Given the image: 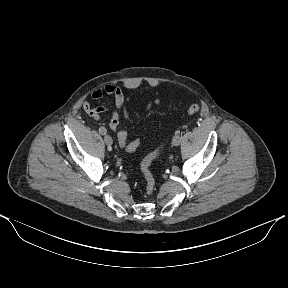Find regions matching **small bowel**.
I'll return each instance as SVG.
<instances>
[{
	"label": "small bowel",
	"mask_w": 288,
	"mask_h": 288,
	"mask_svg": "<svg viewBox=\"0 0 288 288\" xmlns=\"http://www.w3.org/2000/svg\"><path fill=\"white\" fill-rule=\"evenodd\" d=\"M104 95L111 96L114 99V110L111 112L109 117V126L112 131L117 133V136H120L121 132L124 131V129L120 127V117L122 116L124 119H128L130 117L128 108L126 106L124 92L121 87L114 84H108L94 90L91 94V98L93 100H100ZM161 101V98H156L150 101L146 106V110L149 111L153 105H158L161 103ZM83 108L94 118H97L100 113L108 110L104 106L93 108L88 100L84 101Z\"/></svg>",
	"instance_id": "1"
}]
</instances>
